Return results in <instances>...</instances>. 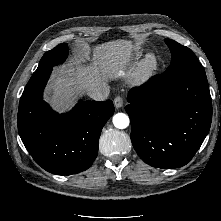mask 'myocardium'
<instances>
[{"instance_id":"myocardium-1","label":"myocardium","mask_w":221,"mask_h":221,"mask_svg":"<svg viewBox=\"0 0 221 221\" xmlns=\"http://www.w3.org/2000/svg\"><path fill=\"white\" fill-rule=\"evenodd\" d=\"M159 59L154 52L147 53L140 61L134 75L136 84H144L151 79L158 68Z\"/></svg>"}]
</instances>
